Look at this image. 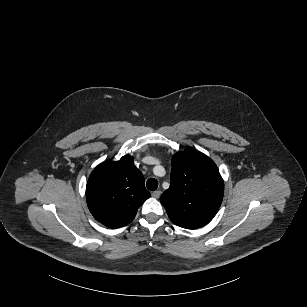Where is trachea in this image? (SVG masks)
<instances>
[{
    "label": "trachea",
    "instance_id": "obj_1",
    "mask_svg": "<svg viewBox=\"0 0 307 307\" xmlns=\"http://www.w3.org/2000/svg\"><path fill=\"white\" fill-rule=\"evenodd\" d=\"M146 186L150 191H155L158 187V182L156 179L150 178L146 182Z\"/></svg>",
    "mask_w": 307,
    "mask_h": 307
}]
</instances>
